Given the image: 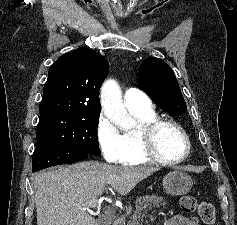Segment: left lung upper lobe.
I'll list each match as a JSON object with an SVG mask.
<instances>
[{
    "label": "left lung upper lobe",
    "instance_id": "5c2ea615",
    "mask_svg": "<svg viewBox=\"0 0 237 225\" xmlns=\"http://www.w3.org/2000/svg\"><path fill=\"white\" fill-rule=\"evenodd\" d=\"M139 87L155 104L165 108L172 115H182L187 106L173 70L163 60L146 58L138 70Z\"/></svg>",
    "mask_w": 237,
    "mask_h": 225
}]
</instances>
